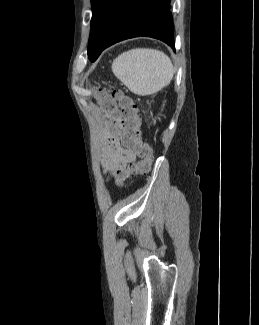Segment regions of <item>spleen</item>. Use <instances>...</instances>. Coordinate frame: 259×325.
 Returning <instances> with one entry per match:
<instances>
[{"mask_svg": "<svg viewBox=\"0 0 259 325\" xmlns=\"http://www.w3.org/2000/svg\"><path fill=\"white\" fill-rule=\"evenodd\" d=\"M113 74L134 94L157 93L173 78L170 58L162 51L136 48L120 54L112 63Z\"/></svg>", "mask_w": 259, "mask_h": 325, "instance_id": "spleen-1", "label": "spleen"}]
</instances>
